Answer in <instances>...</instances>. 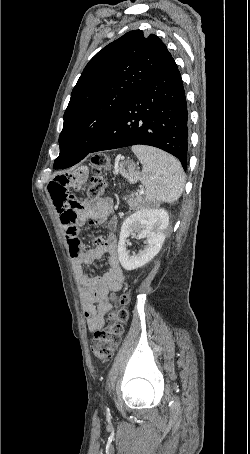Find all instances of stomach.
I'll return each instance as SVG.
<instances>
[{
    "label": "stomach",
    "instance_id": "stomach-1",
    "mask_svg": "<svg viewBox=\"0 0 250 454\" xmlns=\"http://www.w3.org/2000/svg\"><path fill=\"white\" fill-rule=\"evenodd\" d=\"M118 172L121 173L130 182H136L139 179V173L135 170V165L132 161H123L119 164Z\"/></svg>",
    "mask_w": 250,
    "mask_h": 454
}]
</instances>
